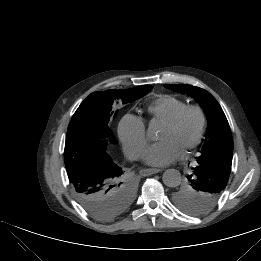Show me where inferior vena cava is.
Listing matches in <instances>:
<instances>
[{
  "label": "inferior vena cava",
  "mask_w": 261,
  "mask_h": 261,
  "mask_svg": "<svg viewBox=\"0 0 261 261\" xmlns=\"http://www.w3.org/2000/svg\"><path fill=\"white\" fill-rule=\"evenodd\" d=\"M126 156H127V158L129 159V160H133V159H135V155L134 154H126Z\"/></svg>",
  "instance_id": "obj_1"
}]
</instances>
